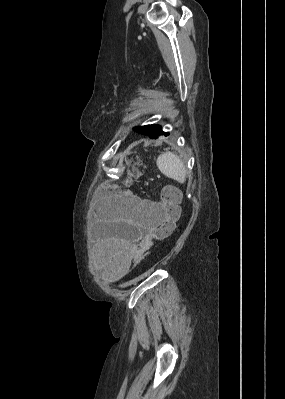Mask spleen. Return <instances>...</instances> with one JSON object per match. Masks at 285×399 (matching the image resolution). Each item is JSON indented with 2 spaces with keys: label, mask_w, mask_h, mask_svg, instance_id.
I'll list each match as a JSON object with an SVG mask.
<instances>
[{
  "label": "spleen",
  "mask_w": 285,
  "mask_h": 399,
  "mask_svg": "<svg viewBox=\"0 0 285 399\" xmlns=\"http://www.w3.org/2000/svg\"><path fill=\"white\" fill-rule=\"evenodd\" d=\"M157 166L165 176L179 183H184L186 181V167L178 155L170 151L162 153L157 158Z\"/></svg>",
  "instance_id": "obj_1"
}]
</instances>
